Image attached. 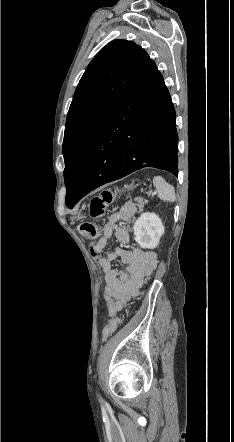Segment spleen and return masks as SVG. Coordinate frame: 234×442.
I'll return each instance as SVG.
<instances>
[{"label":"spleen","mask_w":234,"mask_h":442,"mask_svg":"<svg viewBox=\"0 0 234 442\" xmlns=\"http://www.w3.org/2000/svg\"><path fill=\"white\" fill-rule=\"evenodd\" d=\"M153 184L158 192V197L161 200L174 202L175 201V190L172 185L166 182L162 176H156L153 179Z\"/></svg>","instance_id":"obj_1"}]
</instances>
